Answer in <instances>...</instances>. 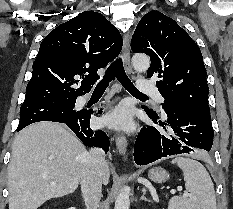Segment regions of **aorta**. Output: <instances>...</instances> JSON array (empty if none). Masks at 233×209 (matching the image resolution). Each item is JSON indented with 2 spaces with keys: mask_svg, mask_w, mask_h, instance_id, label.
<instances>
[{
  "mask_svg": "<svg viewBox=\"0 0 233 209\" xmlns=\"http://www.w3.org/2000/svg\"><path fill=\"white\" fill-rule=\"evenodd\" d=\"M133 68L138 72H146L150 66V59L144 54H136L132 57ZM130 188L124 186L119 192L116 201L115 209H129L130 207Z\"/></svg>",
  "mask_w": 233,
  "mask_h": 209,
  "instance_id": "1",
  "label": "aorta"
}]
</instances>
